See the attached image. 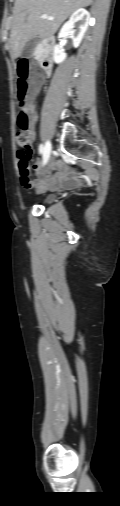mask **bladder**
<instances>
[{
    "label": "bladder",
    "instance_id": "31cf9c89",
    "mask_svg": "<svg viewBox=\"0 0 120 506\" xmlns=\"http://www.w3.org/2000/svg\"><path fill=\"white\" fill-rule=\"evenodd\" d=\"M55 199V194H52V193H49V194H46L43 198H42V201L44 203H49L51 202L52 200Z\"/></svg>",
    "mask_w": 120,
    "mask_h": 506
}]
</instances>
